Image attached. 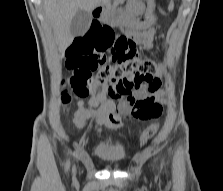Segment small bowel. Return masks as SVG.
<instances>
[{
  "mask_svg": "<svg viewBox=\"0 0 223 191\" xmlns=\"http://www.w3.org/2000/svg\"><path fill=\"white\" fill-rule=\"evenodd\" d=\"M100 26L101 24L97 23L93 27ZM154 32L155 29L152 27L136 34L135 37L142 45L151 49ZM158 90V79L135 88H129L124 83L108 85L98 83L87 102L84 100L78 102L79 109L73 119L74 127L84 128L87 126V120L93 118L97 131L101 132L103 129L120 128L123 115L139 120L150 119L156 115L152 109H160V105L163 103ZM106 95L109 98H106Z\"/></svg>",
  "mask_w": 223,
  "mask_h": 191,
  "instance_id": "c3829d8e",
  "label": "small bowel"
}]
</instances>
